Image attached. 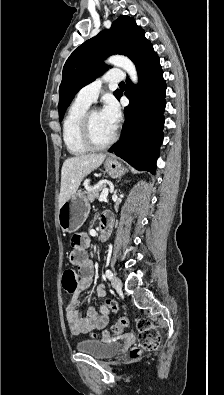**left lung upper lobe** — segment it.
Segmentation results:
<instances>
[{
    "mask_svg": "<svg viewBox=\"0 0 224 395\" xmlns=\"http://www.w3.org/2000/svg\"><path fill=\"white\" fill-rule=\"evenodd\" d=\"M149 43L145 32L136 25L133 18L121 16L112 23L110 29L101 31L96 37L77 47L63 67L59 88V120H62L75 94L107 69L103 63L106 57L122 54L134 62ZM119 93L116 90L114 95L117 97Z\"/></svg>",
    "mask_w": 224,
    "mask_h": 395,
    "instance_id": "obj_1",
    "label": "left lung upper lobe"
}]
</instances>
